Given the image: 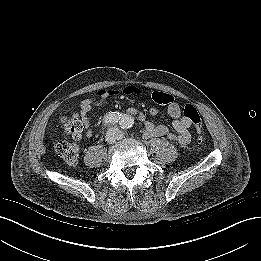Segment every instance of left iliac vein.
<instances>
[{
    "instance_id": "1",
    "label": "left iliac vein",
    "mask_w": 261,
    "mask_h": 261,
    "mask_svg": "<svg viewBox=\"0 0 261 261\" xmlns=\"http://www.w3.org/2000/svg\"><path fill=\"white\" fill-rule=\"evenodd\" d=\"M116 132H117V135H118L119 139H122L124 137V134L121 131L116 129Z\"/></svg>"
}]
</instances>
